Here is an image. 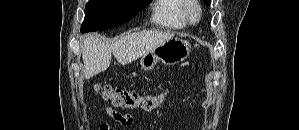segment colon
<instances>
[{"mask_svg": "<svg viewBox=\"0 0 299 130\" xmlns=\"http://www.w3.org/2000/svg\"><path fill=\"white\" fill-rule=\"evenodd\" d=\"M94 91L104 100L110 101L115 107L124 109L141 108L145 111H151L161 107L169 98V94L165 92L157 95L144 96L108 85H96Z\"/></svg>", "mask_w": 299, "mask_h": 130, "instance_id": "colon-1", "label": "colon"}]
</instances>
